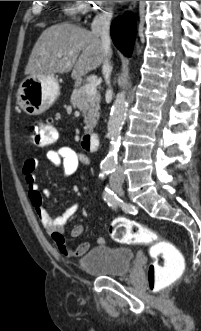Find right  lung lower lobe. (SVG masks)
I'll use <instances>...</instances> for the list:
<instances>
[{
    "label": "right lung lower lobe",
    "instance_id": "right-lung-lower-lobe-1",
    "mask_svg": "<svg viewBox=\"0 0 201 331\" xmlns=\"http://www.w3.org/2000/svg\"><path fill=\"white\" fill-rule=\"evenodd\" d=\"M111 36L115 46L126 56H131L135 40V19L126 12L112 22Z\"/></svg>",
    "mask_w": 201,
    "mask_h": 331
}]
</instances>
